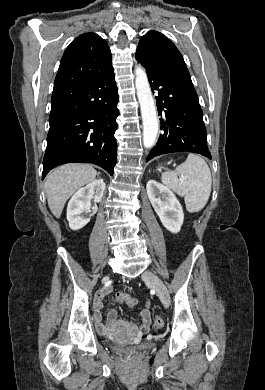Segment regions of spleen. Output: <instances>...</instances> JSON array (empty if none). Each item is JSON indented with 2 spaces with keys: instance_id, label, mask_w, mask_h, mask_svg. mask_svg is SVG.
Wrapping results in <instances>:
<instances>
[{
  "instance_id": "spleen-1",
  "label": "spleen",
  "mask_w": 265,
  "mask_h": 390,
  "mask_svg": "<svg viewBox=\"0 0 265 390\" xmlns=\"http://www.w3.org/2000/svg\"><path fill=\"white\" fill-rule=\"evenodd\" d=\"M178 175L184 176L185 180L178 179ZM163 184L183 196L186 209L190 213L201 211L208 202L212 177L205 160L196 154H189L186 161L174 171L162 174Z\"/></svg>"
}]
</instances>
